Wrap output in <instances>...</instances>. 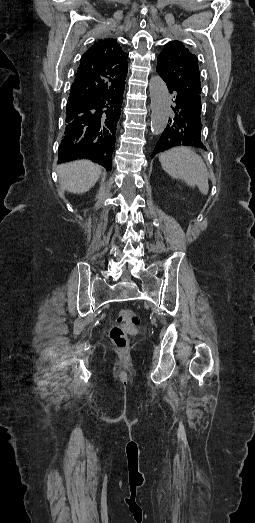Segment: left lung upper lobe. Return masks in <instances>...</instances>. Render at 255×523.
I'll return each mask as SVG.
<instances>
[{
  "mask_svg": "<svg viewBox=\"0 0 255 523\" xmlns=\"http://www.w3.org/2000/svg\"><path fill=\"white\" fill-rule=\"evenodd\" d=\"M156 71L167 86H172V89H176V92L182 94V101L193 104L195 114L200 116L201 84L197 57L190 53L181 42H169L158 56ZM193 146L196 147V145Z\"/></svg>",
  "mask_w": 255,
  "mask_h": 523,
  "instance_id": "5c2ea615",
  "label": "left lung upper lobe"
}]
</instances>
